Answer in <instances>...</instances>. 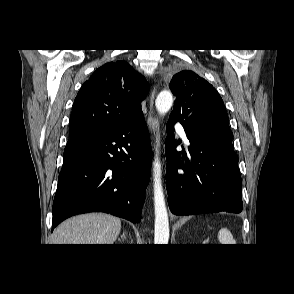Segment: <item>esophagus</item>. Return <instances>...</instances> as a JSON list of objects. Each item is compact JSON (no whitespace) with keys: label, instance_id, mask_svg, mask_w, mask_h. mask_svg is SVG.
Returning <instances> with one entry per match:
<instances>
[{"label":"esophagus","instance_id":"esophagus-1","mask_svg":"<svg viewBox=\"0 0 294 294\" xmlns=\"http://www.w3.org/2000/svg\"><path fill=\"white\" fill-rule=\"evenodd\" d=\"M156 89L157 86L155 85L150 93V97H149V115L147 118V122L150 128V131L152 133L153 139L157 138L158 132H159V125H158V119L156 117V115L154 114V99L156 96Z\"/></svg>","mask_w":294,"mask_h":294}]
</instances>
